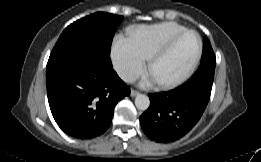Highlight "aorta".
<instances>
[{"label":"aorta","instance_id":"obj_1","mask_svg":"<svg viewBox=\"0 0 261 162\" xmlns=\"http://www.w3.org/2000/svg\"><path fill=\"white\" fill-rule=\"evenodd\" d=\"M135 106L137 109L145 111L150 106V100L147 95L144 94H138L135 98Z\"/></svg>","mask_w":261,"mask_h":162}]
</instances>
